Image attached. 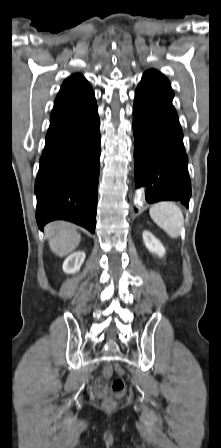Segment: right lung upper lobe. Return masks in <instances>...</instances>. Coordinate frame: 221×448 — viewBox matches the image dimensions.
<instances>
[{"instance_id": "cb5924a9", "label": "right lung upper lobe", "mask_w": 221, "mask_h": 448, "mask_svg": "<svg viewBox=\"0 0 221 448\" xmlns=\"http://www.w3.org/2000/svg\"><path fill=\"white\" fill-rule=\"evenodd\" d=\"M92 93L88 81L80 74H73L63 82L51 115L85 99Z\"/></svg>"}]
</instances>
